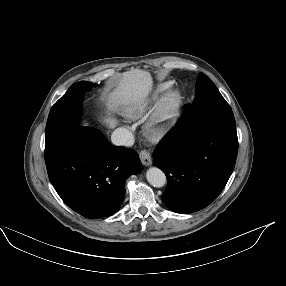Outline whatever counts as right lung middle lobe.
<instances>
[{
	"mask_svg": "<svg viewBox=\"0 0 286 286\" xmlns=\"http://www.w3.org/2000/svg\"><path fill=\"white\" fill-rule=\"evenodd\" d=\"M93 86L91 82L87 81L76 82L52 106L46 124V140L67 130L79 127L84 93Z\"/></svg>",
	"mask_w": 286,
	"mask_h": 286,
	"instance_id": "right-lung-middle-lobe-1",
	"label": "right lung middle lobe"
}]
</instances>
